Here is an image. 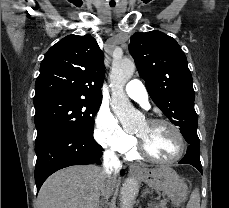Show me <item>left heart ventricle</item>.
Here are the masks:
<instances>
[{"label": "left heart ventricle", "instance_id": "b2bd125f", "mask_svg": "<svg viewBox=\"0 0 229 208\" xmlns=\"http://www.w3.org/2000/svg\"><path fill=\"white\" fill-rule=\"evenodd\" d=\"M170 130L174 129L167 125H151L144 122L135 133L146 139V152H150V157H158V160H171L179 155L184 147L176 146L174 135H170Z\"/></svg>", "mask_w": 229, "mask_h": 208}]
</instances>
